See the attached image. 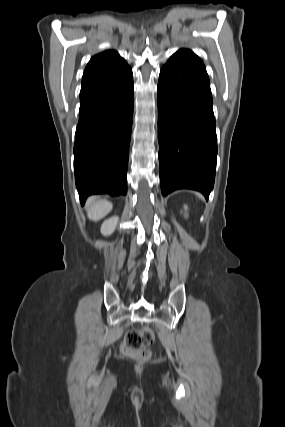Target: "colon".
<instances>
[{
	"instance_id": "1",
	"label": "colon",
	"mask_w": 285,
	"mask_h": 427,
	"mask_svg": "<svg viewBox=\"0 0 285 427\" xmlns=\"http://www.w3.org/2000/svg\"><path fill=\"white\" fill-rule=\"evenodd\" d=\"M154 341V333L149 327L129 330L124 338L123 349L136 358L147 360L151 356L150 346Z\"/></svg>"
}]
</instances>
